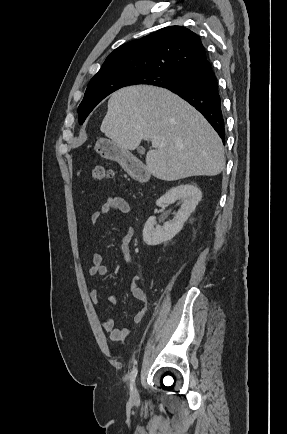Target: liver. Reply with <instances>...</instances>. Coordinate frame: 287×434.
<instances>
[{"instance_id": "liver-1", "label": "liver", "mask_w": 287, "mask_h": 434, "mask_svg": "<svg viewBox=\"0 0 287 434\" xmlns=\"http://www.w3.org/2000/svg\"><path fill=\"white\" fill-rule=\"evenodd\" d=\"M100 130L125 150H135L142 140L158 142L146 154V167L160 180L216 176L225 166L215 130L194 107L163 88L131 86L114 92Z\"/></svg>"}]
</instances>
